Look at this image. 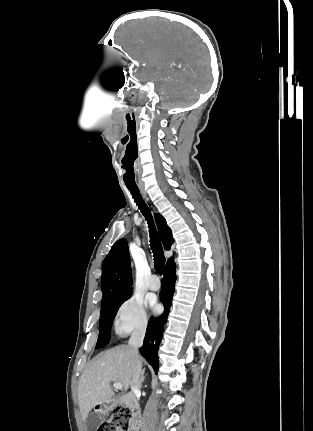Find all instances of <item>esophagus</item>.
I'll list each match as a JSON object with an SVG mask.
<instances>
[{
    "instance_id": "esophagus-1",
    "label": "esophagus",
    "mask_w": 313,
    "mask_h": 431,
    "mask_svg": "<svg viewBox=\"0 0 313 431\" xmlns=\"http://www.w3.org/2000/svg\"><path fill=\"white\" fill-rule=\"evenodd\" d=\"M141 192L143 193V195L147 198L146 192L144 190H141Z\"/></svg>"
}]
</instances>
